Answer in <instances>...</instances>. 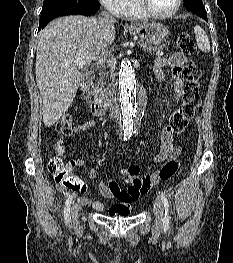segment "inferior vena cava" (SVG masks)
I'll list each match as a JSON object with an SVG mask.
<instances>
[{"mask_svg": "<svg viewBox=\"0 0 233 263\" xmlns=\"http://www.w3.org/2000/svg\"><path fill=\"white\" fill-rule=\"evenodd\" d=\"M99 22L101 24H104V25H110V24H113L114 22H116V20L114 19V17L103 11L101 12V14L99 15V18H98ZM108 56V48L106 47V49L104 50L103 52V55L101 56L102 58V62L104 63L105 61V58ZM110 86V89L108 91V95L110 96V116L112 118H118V108H117V104H116V101H115V86L113 84V82L109 85Z\"/></svg>", "mask_w": 233, "mask_h": 263, "instance_id": "obj_1", "label": "inferior vena cava"}]
</instances>
